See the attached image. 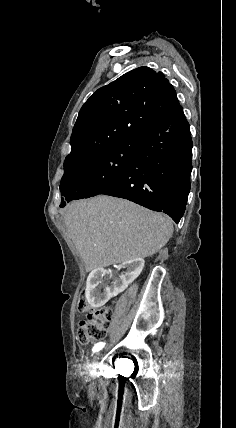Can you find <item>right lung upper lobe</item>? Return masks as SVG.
Segmentation results:
<instances>
[{
	"label": "right lung upper lobe",
	"instance_id": "obj_1",
	"mask_svg": "<svg viewBox=\"0 0 236 428\" xmlns=\"http://www.w3.org/2000/svg\"><path fill=\"white\" fill-rule=\"evenodd\" d=\"M181 108L161 72L139 67L94 92L82 106L64 168L120 142L136 139Z\"/></svg>",
	"mask_w": 236,
	"mask_h": 428
}]
</instances>
